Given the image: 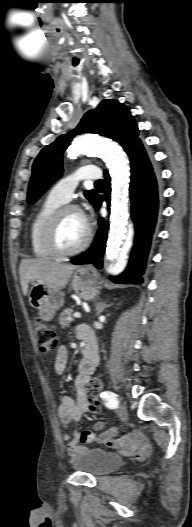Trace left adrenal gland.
<instances>
[{"mask_svg":"<svg viewBox=\"0 0 192 527\" xmlns=\"http://www.w3.org/2000/svg\"><path fill=\"white\" fill-rule=\"evenodd\" d=\"M110 305H106L105 303H102V302H99L96 304V311H97V315H99L100 313L103 312V310L107 307H109Z\"/></svg>","mask_w":192,"mask_h":527,"instance_id":"left-adrenal-gland-1","label":"left adrenal gland"}]
</instances>
